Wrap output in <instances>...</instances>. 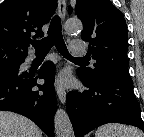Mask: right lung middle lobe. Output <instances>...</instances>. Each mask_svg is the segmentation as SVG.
I'll list each match as a JSON object with an SVG mask.
<instances>
[{"instance_id": "dd1d6c3e", "label": "right lung middle lobe", "mask_w": 144, "mask_h": 137, "mask_svg": "<svg viewBox=\"0 0 144 137\" xmlns=\"http://www.w3.org/2000/svg\"><path fill=\"white\" fill-rule=\"evenodd\" d=\"M19 65L13 66L11 68H8L6 70L0 71V76H6V75H15L19 71Z\"/></svg>"}]
</instances>
